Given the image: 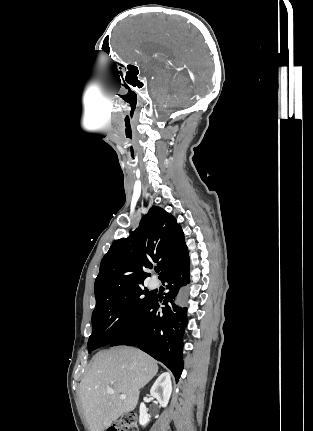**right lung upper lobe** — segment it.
Masks as SVG:
<instances>
[{
    "instance_id": "obj_1",
    "label": "right lung upper lobe",
    "mask_w": 313,
    "mask_h": 431,
    "mask_svg": "<svg viewBox=\"0 0 313 431\" xmlns=\"http://www.w3.org/2000/svg\"><path fill=\"white\" fill-rule=\"evenodd\" d=\"M186 247L175 217L153 206L127 238L115 241L100 263L95 280V298L109 296L143 285L152 263L161 266V279Z\"/></svg>"
}]
</instances>
